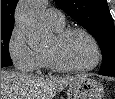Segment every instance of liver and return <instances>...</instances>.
<instances>
[{
  "instance_id": "liver-1",
  "label": "liver",
  "mask_w": 115,
  "mask_h": 99,
  "mask_svg": "<svg viewBox=\"0 0 115 99\" xmlns=\"http://www.w3.org/2000/svg\"><path fill=\"white\" fill-rule=\"evenodd\" d=\"M81 77H44L1 70V99H52Z\"/></svg>"
}]
</instances>
